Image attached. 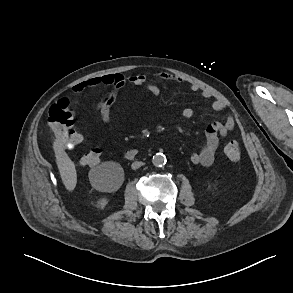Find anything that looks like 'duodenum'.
Returning a JSON list of instances; mask_svg holds the SVG:
<instances>
[{
    "instance_id": "410a0bca",
    "label": "duodenum",
    "mask_w": 293,
    "mask_h": 293,
    "mask_svg": "<svg viewBox=\"0 0 293 293\" xmlns=\"http://www.w3.org/2000/svg\"><path fill=\"white\" fill-rule=\"evenodd\" d=\"M137 154H138V151L136 149H130V150L125 151L124 157L127 160H132L137 156Z\"/></svg>"
}]
</instances>
